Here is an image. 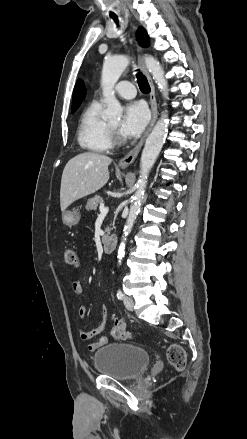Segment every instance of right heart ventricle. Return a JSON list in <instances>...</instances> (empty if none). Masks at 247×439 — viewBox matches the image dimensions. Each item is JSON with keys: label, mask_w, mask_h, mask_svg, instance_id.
Returning <instances> with one entry per match:
<instances>
[{"label": "right heart ventricle", "mask_w": 247, "mask_h": 439, "mask_svg": "<svg viewBox=\"0 0 247 439\" xmlns=\"http://www.w3.org/2000/svg\"><path fill=\"white\" fill-rule=\"evenodd\" d=\"M77 141L82 149L90 152L103 153L112 148L108 123L102 116L100 102H91L82 112L77 129Z\"/></svg>", "instance_id": "right-heart-ventricle-1"}]
</instances>
